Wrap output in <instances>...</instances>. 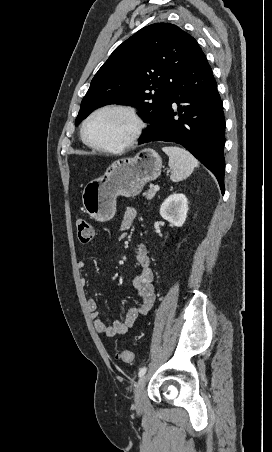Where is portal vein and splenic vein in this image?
Instances as JSON below:
<instances>
[{
	"mask_svg": "<svg viewBox=\"0 0 272 452\" xmlns=\"http://www.w3.org/2000/svg\"><path fill=\"white\" fill-rule=\"evenodd\" d=\"M153 189H154L155 191H158V190H159V186H158V185H155V186L153 187Z\"/></svg>",
	"mask_w": 272,
	"mask_h": 452,
	"instance_id": "portal-vein-and-splenic-vein-1",
	"label": "portal vein and splenic vein"
}]
</instances>
